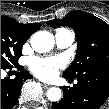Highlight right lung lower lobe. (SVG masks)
Segmentation results:
<instances>
[{
  "label": "right lung lower lobe",
  "mask_w": 109,
  "mask_h": 109,
  "mask_svg": "<svg viewBox=\"0 0 109 109\" xmlns=\"http://www.w3.org/2000/svg\"><path fill=\"white\" fill-rule=\"evenodd\" d=\"M15 66L20 67L18 64ZM12 67H9V69ZM29 78H32V76L28 72L22 71L21 68L15 79H1V109H12L15 106L20 95L22 83Z\"/></svg>",
  "instance_id": "98d812e1"
}]
</instances>
